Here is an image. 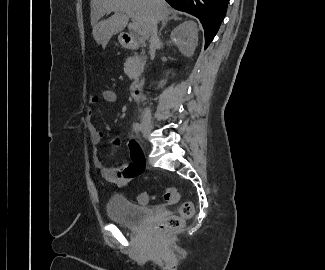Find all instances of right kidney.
<instances>
[{"mask_svg": "<svg viewBox=\"0 0 325 270\" xmlns=\"http://www.w3.org/2000/svg\"><path fill=\"white\" fill-rule=\"evenodd\" d=\"M170 37L182 57L189 58L193 55L198 43V29L194 22L180 24L171 32Z\"/></svg>", "mask_w": 325, "mask_h": 270, "instance_id": "obj_1", "label": "right kidney"}]
</instances>
